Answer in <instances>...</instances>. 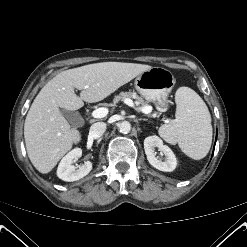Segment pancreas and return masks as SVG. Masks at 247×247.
Segmentation results:
<instances>
[{
	"label": "pancreas",
	"instance_id": "obj_1",
	"mask_svg": "<svg viewBox=\"0 0 247 247\" xmlns=\"http://www.w3.org/2000/svg\"><path fill=\"white\" fill-rule=\"evenodd\" d=\"M126 98H133L136 100L137 105H141V107H145L147 104L144 102L142 98H140L136 93L134 92H121L119 95L115 96L113 100V104L111 106H114L117 102L120 100L126 99Z\"/></svg>",
	"mask_w": 247,
	"mask_h": 247
}]
</instances>
